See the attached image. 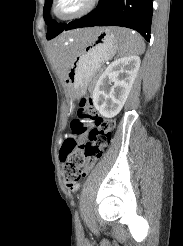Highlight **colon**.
I'll return each instance as SVG.
<instances>
[{"label": "colon", "mask_w": 183, "mask_h": 246, "mask_svg": "<svg viewBox=\"0 0 183 246\" xmlns=\"http://www.w3.org/2000/svg\"><path fill=\"white\" fill-rule=\"evenodd\" d=\"M113 127L112 120L97 114L89 97L80 99L72 130L74 134H87V140L78 142L74 138L66 139L60 150V159L64 164L63 181L68 190L76 191L78 182L101 159L110 143Z\"/></svg>", "instance_id": "1"}]
</instances>
